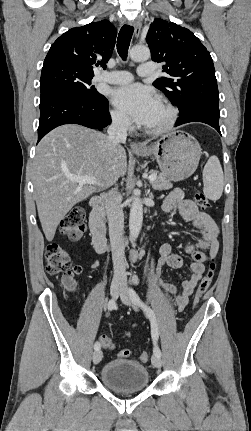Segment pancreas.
I'll use <instances>...</instances> for the list:
<instances>
[{
    "instance_id": "cf45deb5",
    "label": "pancreas",
    "mask_w": 251,
    "mask_h": 431,
    "mask_svg": "<svg viewBox=\"0 0 251 431\" xmlns=\"http://www.w3.org/2000/svg\"><path fill=\"white\" fill-rule=\"evenodd\" d=\"M149 173H150V175L151 174L156 175V179L151 182L153 189H155V190H168V189L172 188L171 182L163 174H160L154 170L150 171Z\"/></svg>"
}]
</instances>
